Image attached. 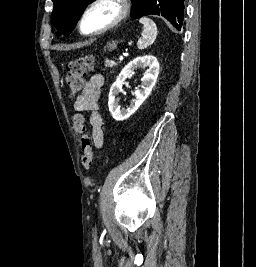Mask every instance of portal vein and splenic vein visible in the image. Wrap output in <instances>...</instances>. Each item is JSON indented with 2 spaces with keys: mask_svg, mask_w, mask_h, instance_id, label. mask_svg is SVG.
Returning a JSON list of instances; mask_svg holds the SVG:
<instances>
[{
  "mask_svg": "<svg viewBox=\"0 0 256 267\" xmlns=\"http://www.w3.org/2000/svg\"><path fill=\"white\" fill-rule=\"evenodd\" d=\"M119 59H120V60H124V59H125V56H124V55H120V56H119Z\"/></svg>",
  "mask_w": 256,
  "mask_h": 267,
  "instance_id": "1",
  "label": "portal vein and splenic vein"
}]
</instances>
